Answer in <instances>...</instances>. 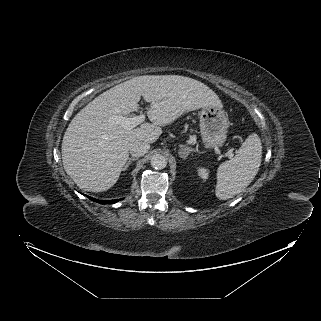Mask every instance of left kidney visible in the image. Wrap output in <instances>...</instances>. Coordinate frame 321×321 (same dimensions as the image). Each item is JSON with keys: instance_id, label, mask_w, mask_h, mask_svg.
<instances>
[{"instance_id": "1", "label": "left kidney", "mask_w": 321, "mask_h": 321, "mask_svg": "<svg viewBox=\"0 0 321 321\" xmlns=\"http://www.w3.org/2000/svg\"><path fill=\"white\" fill-rule=\"evenodd\" d=\"M197 173L200 176V178H202L203 180L208 179V176H209L208 169H206L204 167H198L197 168Z\"/></svg>"}]
</instances>
